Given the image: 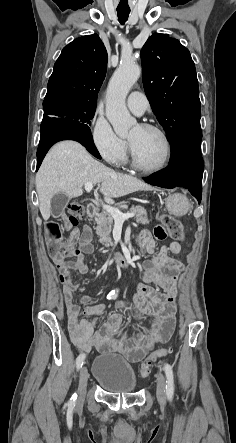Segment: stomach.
I'll return each mask as SVG.
<instances>
[{
    "label": "stomach",
    "mask_w": 236,
    "mask_h": 443,
    "mask_svg": "<svg viewBox=\"0 0 236 443\" xmlns=\"http://www.w3.org/2000/svg\"><path fill=\"white\" fill-rule=\"evenodd\" d=\"M168 211L176 216L185 214L189 209V202L186 196L180 193H174L166 199Z\"/></svg>",
    "instance_id": "stomach-1"
}]
</instances>
